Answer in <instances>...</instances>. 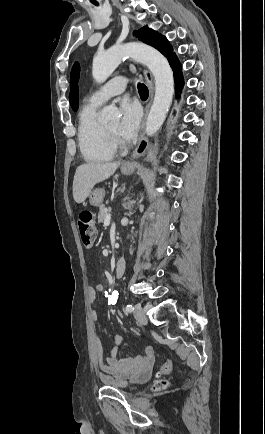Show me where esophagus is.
Masks as SVG:
<instances>
[{
    "label": "esophagus",
    "mask_w": 265,
    "mask_h": 434,
    "mask_svg": "<svg viewBox=\"0 0 265 434\" xmlns=\"http://www.w3.org/2000/svg\"><path fill=\"white\" fill-rule=\"evenodd\" d=\"M131 38H133V36H130ZM143 75L145 77V80L147 82L148 85V89H149V94H150V101L148 103V105L145 107V114L143 117V121H142V127H141V135H140V139L139 142L137 144V147L135 148V150L133 151L129 161L124 162V164H122V167H129L132 165V162L135 159H138L139 157H141V155L144 154V152L146 151L149 142L148 139L145 137V126H146V121H147V116H148V112L150 109V105L153 99V95H154V82H153V77L152 74L149 72V70H143Z\"/></svg>",
    "instance_id": "1"
}]
</instances>
